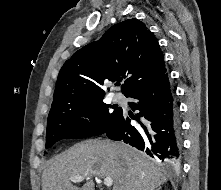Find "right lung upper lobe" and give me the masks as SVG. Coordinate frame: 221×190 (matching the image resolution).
<instances>
[{
  "label": "right lung upper lobe",
  "instance_id": "1",
  "mask_svg": "<svg viewBox=\"0 0 221 190\" xmlns=\"http://www.w3.org/2000/svg\"><path fill=\"white\" fill-rule=\"evenodd\" d=\"M163 53L145 24L129 19L109 28L101 39L76 51L62 66L52 107L105 96V80L119 82L127 96L166 73Z\"/></svg>",
  "mask_w": 221,
  "mask_h": 190
}]
</instances>
